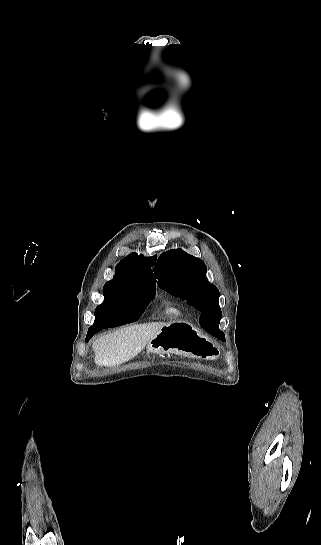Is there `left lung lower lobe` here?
<instances>
[{"instance_id": "0a47b994", "label": "left lung lower lobe", "mask_w": 321, "mask_h": 545, "mask_svg": "<svg viewBox=\"0 0 321 545\" xmlns=\"http://www.w3.org/2000/svg\"><path fill=\"white\" fill-rule=\"evenodd\" d=\"M219 322H220V319L211 317L207 320V322L204 325H201V327L205 329L207 332H209L210 334H212L213 336H216L220 332Z\"/></svg>"}]
</instances>
